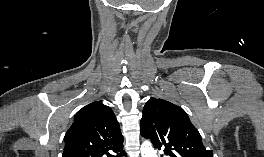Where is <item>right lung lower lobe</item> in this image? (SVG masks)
Listing matches in <instances>:
<instances>
[{"label":"right lung lower lobe","mask_w":264,"mask_h":157,"mask_svg":"<svg viewBox=\"0 0 264 157\" xmlns=\"http://www.w3.org/2000/svg\"><path fill=\"white\" fill-rule=\"evenodd\" d=\"M115 153H117V155H109L107 157H124L126 156L125 151L123 150V148L119 149L118 151H116Z\"/></svg>","instance_id":"98d812e1"}]
</instances>
